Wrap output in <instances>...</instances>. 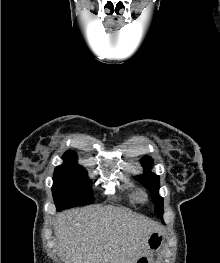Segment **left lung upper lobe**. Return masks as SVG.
I'll return each instance as SVG.
<instances>
[{
    "instance_id": "left-lung-upper-lobe-1",
    "label": "left lung upper lobe",
    "mask_w": 220,
    "mask_h": 263,
    "mask_svg": "<svg viewBox=\"0 0 220 263\" xmlns=\"http://www.w3.org/2000/svg\"><path fill=\"white\" fill-rule=\"evenodd\" d=\"M143 166L146 169V172L137 176V179L148 189L151 190V197L155 204L154 211L155 213L162 218L163 214V199L158 195L159 190V177L151 172H149L150 167L152 166V159L149 157H144L141 160Z\"/></svg>"
}]
</instances>
